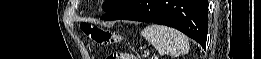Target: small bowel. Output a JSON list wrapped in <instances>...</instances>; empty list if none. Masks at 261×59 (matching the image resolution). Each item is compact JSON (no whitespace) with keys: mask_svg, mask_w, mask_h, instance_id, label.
Segmentation results:
<instances>
[{"mask_svg":"<svg viewBox=\"0 0 261 59\" xmlns=\"http://www.w3.org/2000/svg\"><path fill=\"white\" fill-rule=\"evenodd\" d=\"M127 55H128V54H121V55H119V56H120L119 59H126L125 57H126Z\"/></svg>","mask_w":261,"mask_h":59,"instance_id":"obj_1","label":"small bowel"}]
</instances>
